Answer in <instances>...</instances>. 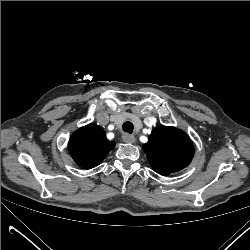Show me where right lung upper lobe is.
I'll return each mask as SVG.
<instances>
[{
	"label": "right lung upper lobe",
	"instance_id": "cb5924a9",
	"mask_svg": "<svg viewBox=\"0 0 250 250\" xmlns=\"http://www.w3.org/2000/svg\"><path fill=\"white\" fill-rule=\"evenodd\" d=\"M114 146L100 126L88 124L72 134L68 149L77 165L90 169L98 166Z\"/></svg>",
	"mask_w": 250,
	"mask_h": 250
}]
</instances>
